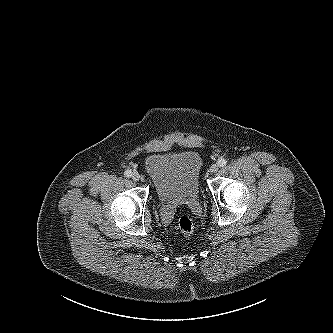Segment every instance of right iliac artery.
I'll list each match as a JSON object with an SVG mask.
<instances>
[{
    "label": "right iliac artery",
    "instance_id": "obj_1",
    "mask_svg": "<svg viewBox=\"0 0 333 333\" xmlns=\"http://www.w3.org/2000/svg\"><path fill=\"white\" fill-rule=\"evenodd\" d=\"M124 175L126 176V177H131L132 176V172H131V170H126L125 172H124Z\"/></svg>",
    "mask_w": 333,
    "mask_h": 333
}]
</instances>
